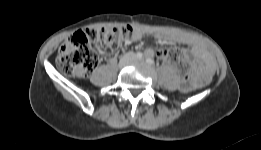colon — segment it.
<instances>
[{
  "mask_svg": "<svg viewBox=\"0 0 261 150\" xmlns=\"http://www.w3.org/2000/svg\"><path fill=\"white\" fill-rule=\"evenodd\" d=\"M133 34L134 29L131 26L78 31L60 47L56 66L66 75L86 77L97 66L101 53L117 50L125 41L131 39ZM157 54L172 63L183 78L188 77L189 61L181 50L161 49Z\"/></svg>",
  "mask_w": 261,
  "mask_h": 150,
  "instance_id": "5ec220e1",
  "label": "colon"
}]
</instances>
